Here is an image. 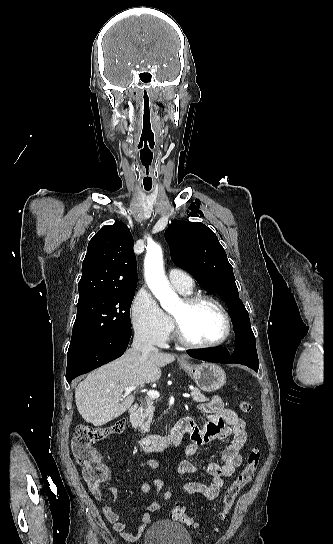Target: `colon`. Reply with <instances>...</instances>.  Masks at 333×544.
<instances>
[{
    "label": "colon",
    "mask_w": 333,
    "mask_h": 544,
    "mask_svg": "<svg viewBox=\"0 0 333 544\" xmlns=\"http://www.w3.org/2000/svg\"><path fill=\"white\" fill-rule=\"evenodd\" d=\"M239 408L243 413H250L252 406L248 401H241ZM125 428V420L117 419L104 427L78 426L73 434L71 446L77 463L83 469V477L90 488H99L107 478V468L102 464L99 453L95 450L96 443L114 434H120ZM261 461L258 449H252L246 458L243 470L227 488L223 497V508L219 514L221 520L227 518L236 497L252 480ZM174 520L197 529L199 524L180 506L171 510Z\"/></svg>",
    "instance_id": "obj_1"
}]
</instances>
